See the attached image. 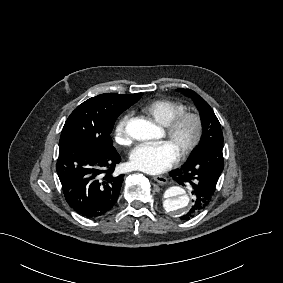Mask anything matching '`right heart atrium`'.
<instances>
[{"mask_svg":"<svg viewBox=\"0 0 283 283\" xmlns=\"http://www.w3.org/2000/svg\"><path fill=\"white\" fill-rule=\"evenodd\" d=\"M131 118L129 112L123 113L116 121L113 128V140L122 147H128L131 144V137L127 131V124Z\"/></svg>","mask_w":283,"mask_h":283,"instance_id":"1","label":"right heart atrium"}]
</instances>
